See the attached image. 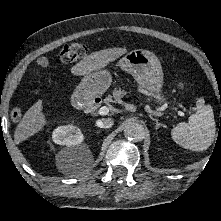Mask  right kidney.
I'll list each match as a JSON object with an SVG mask.
<instances>
[{
    "mask_svg": "<svg viewBox=\"0 0 221 221\" xmlns=\"http://www.w3.org/2000/svg\"><path fill=\"white\" fill-rule=\"evenodd\" d=\"M52 139L56 144L74 146L81 144L84 135L81 130L73 125H64L57 127L52 134Z\"/></svg>",
    "mask_w": 221,
    "mask_h": 221,
    "instance_id": "obj_1",
    "label": "right kidney"
}]
</instances>
